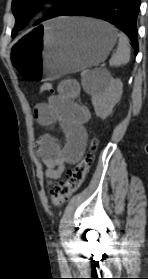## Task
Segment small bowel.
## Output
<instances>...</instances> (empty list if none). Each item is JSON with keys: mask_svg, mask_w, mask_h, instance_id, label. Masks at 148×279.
Here are the masks:
<instances>
[{"mask_svg": "<svg viewBox=\"0 0 148 279\" xmlns=\"http://www.w3.org/2000/svg\"><path fill=\"white\" fill-rule=\"evenodd\" d=\"M79 96L78 82L63 80L55 95L34 108V116L41 126L59 124L65 136L63 145L50 134H43L36 141L35 152L46 167L44 176L48 184L61 178L66 166L77 161L85 149L84 125L90 119V111L76 102Z\"/></svg>", "mask_w": 148, "mask_h": 279, "instance_id": "1", "label": "small bowel"}]
</instances>
